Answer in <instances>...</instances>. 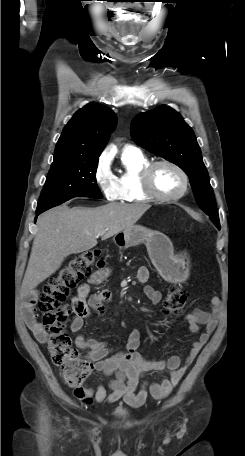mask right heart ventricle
I'll return each mask as SVG.
<instances>
[{
    "mask_svg": "<svg viewBox=\"0 0 245 456\" xmlns=\"http://www.w3.org/2000/svg\"><path fill=\"white\" fill-rule=\"evenodd\" d=\"M124 171L116 177L119 200L122 202H145L150 198L143 192L140 173L150 161L140 151H123L121 156Z\"/></svg>",
    "mask_w": 245,
    "mask_h": 456,
    "instance_id": "1",
    "label": "right heart ventricle"
}]
</instances>
